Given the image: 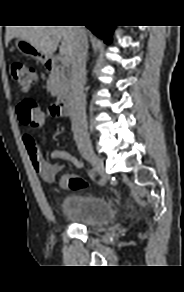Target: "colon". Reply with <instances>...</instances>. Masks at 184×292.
I'll list each match as a JSON object with an SVG mask.
<instances>
[{"label": "colon", "mask_w": 184, "mask_h": 292, "mask_svg": "<svg viewBox=\"0 0 184 292\" xmlns=\"http://www.w3.org/2000/svg\"><path fill=\"white\" fill-rule=\"evenodd\" d=\"M11 74L16 82L18 90L21 92L29 91L37 79L35 69L22 61H15L11 64ZM17 114L20 122L26 126L30 132L41 128L44 123V114L42 110L31 99H25L18 104ZM66 185L72 190H79L86 188L88 183L76 175H67Z\"/></svg>", "instance_id": "1"}]
</instances>
